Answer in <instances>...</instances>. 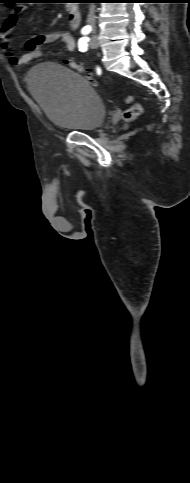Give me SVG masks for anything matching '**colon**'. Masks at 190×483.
I'll use <instances>...</instances> for the list:
<instances>
[{"label":"colon","mask_w":190,"mask_h":483,"mask_svg":"<svg viewBox=\"0 0 190 483\" xmlns=\"http://www.w3.org/2000/svg\"><path fill=\"white\" fill-rule=\"evenodd\" d=\"M65 63L72 69L78 71V72H85L87 74V78L89 81L93 84H96V80L94 77L91 75L89 71L80 63H77L74 59L68 58L65 60ZM126 102L129 104V107L127 110L124 112V119L126 121H131L135 119L137 116H139L142 113V107L141 105L136 101V99L133 96H127L125 98Z\"/></svg>","instance_id":"5ec220e1"}]
</instances>
